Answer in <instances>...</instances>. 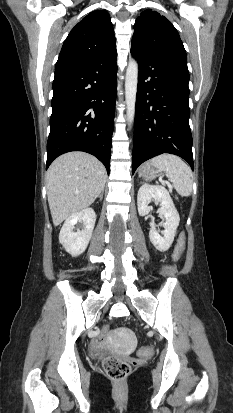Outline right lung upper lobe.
I'll return each instance as SVG.
<instances>
[{
	"mask_svg": "<svg viewBox=\"0 0 233 413\" xmlns=\"http://www.w3.org/2000/svg\"><path fill=\"white\" fill-rule=\"evenodd\" d=\"M114 29L107 12L96 10L84 17L66 38L55 71L116 52Z\"/></svg>",
	"mask_w": 233,
	"mask_h": 413,
	"instance_id": "1",
	"label": "right lung upper lobe"
}]
</instances>
